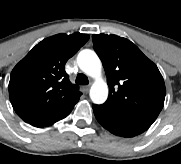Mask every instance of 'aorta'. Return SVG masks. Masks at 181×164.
<instances>
[{"mask_svg": "<svg viewBox=\"0 0 181 164\" xmlns=\"http://www.w3.org/2000/svg\"><path fill=\"white\" fill-rule=\"evenodd\" d=\"M79 68L94 78L90 89V98L95 104H102L108 97V86L101 78L102 64L97 54L89 49L82 50L77 57Z\"/></svg>", "mask_w": 181, "mask_h": 164, "instance_id": "aorta-1", "label": "aorta"}]
</instances>
